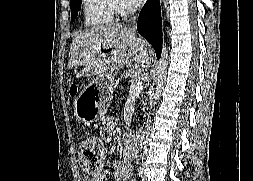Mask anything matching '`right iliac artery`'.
Returning <instances> with one entry per match:
<instances>
[{"mask_svg": "<svg viewBox=\"0 0 253 181\" xmlns=\"http://www.w3.org/2000/svg\"><path fill=\"white\" fill-rule=\"evenodd\" d=\"M138 173H139V176H142V174H143V169L140 168V169L138 170Z\"/></svg>", "mask_w": 253, "mask_h": 181, "instance_id": "right-iliac-artery-1", "label": "right iliac artery"}]
</instances>
